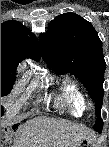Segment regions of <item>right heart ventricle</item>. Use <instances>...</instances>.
Returning a JSON list of instances; mask_svg holds the SVG:
<instances>
[{
    "mask_svg": "<svg viewBox=\"0 0 109 147\" xmlns=\"http://www.w3.org/2000/svg\"><path fill=\"white\" fill-rule=\"evenodd\" d=\"M57 103L72 116L81 117L87 110L86 98L80 87L70 79H64L59 87Z\"/></svg>",
    "mask_w": 109,
    "mask_h": 147,
    "instance_id": "obj_1",
    "label": "right heart ventricle"
}]
</instances>
